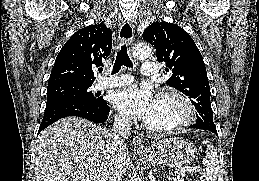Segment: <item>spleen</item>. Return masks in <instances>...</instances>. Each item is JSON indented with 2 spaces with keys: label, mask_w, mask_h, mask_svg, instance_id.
<instances>
[{
  "label": "spleen",
  "mask_w": 259,
  "mask_h": 181,
  "mask_svg": "<svg viewBox=\"0 0 259 181\" xmlns=\"http://www.w3.org/2000/svg\"><path fill=\"white\" fill-rule=\"evenodd\" d=\"M204 169L200 177L201 181H219V161L216 149L213 145H207L205 158L203 159ZM198 181V180H197Z\"/></svg>",
  "instance_id": "1"
}]
</instances>
